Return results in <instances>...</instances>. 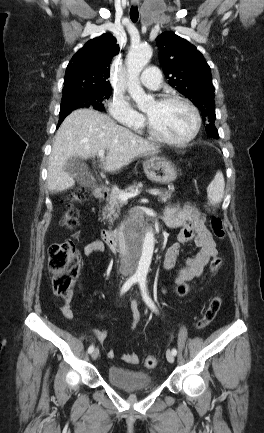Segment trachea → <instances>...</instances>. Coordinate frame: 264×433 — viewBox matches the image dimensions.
Listing matches in <instances>:
<instances>
[{"label": "trachea", "instance_id": "1", "mask_svg": "<svg viewBox=\"0 0 264 433\" xmlns=\"http://www.w3.org/2000/svg\"><path fill=\"white\" fill-rule=\"evenodd\" d=\"M139 17L138 7L131 6L130 9V18L135 23L137 22Z\"/></svg>", "mask_w": 264, "mask_h": 433}]
</instances>
